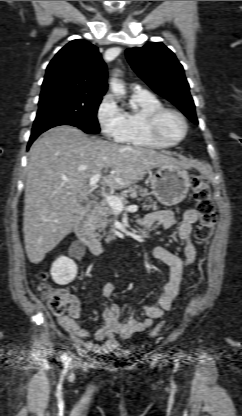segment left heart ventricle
I'll use <instances>...</instances> for the list:
<instances>
[{
  "instance_id": "1",
  "label": "left heart ventricle",
  "mask_w": 242,
  "mask_h": 416,
  "mask_svg": "<svg viewBox=\"0 0 242 416\" xmlns=\"http://www.w3.org/2000/svg\"><path fill=\"white\" fill-rule=\"evenodd\" d=\"M162 133L171 139L179 138L183 133V125L180 119L173 114H166L160 123Z\"/></svg>"
}]
</instances>
